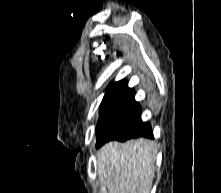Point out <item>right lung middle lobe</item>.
I'll use <instances>...</instances> for the list:
<instances>
[{
	"mask_svg": "<svg viewBox=\"0 0 221 193\" xmlns=\"http://www.w3.org/2000/svg\"><path fill=\"white\" fill-rule=\"evenodd\" d=\"M99 114L96 148L125 135L143 123L140 117L141 107L137 102L114 105L101 110Z\"/></svg>",
	"mask_w": 221,
	"mask_h": 193,
	"instance_id": "right-lung-middle-lobe-1",
	"label": "right lung middle lobe"
}]
</instances>
